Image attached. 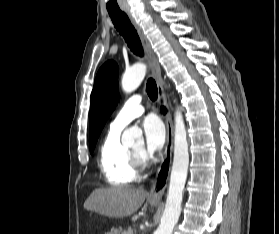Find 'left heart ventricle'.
Returning a JSON list of instances; mask_svg holds the SVG:
<instances>
[{"mask_svg": "<svg viewBox=\"0 0 279 234\" xmlns=\"http://www.w3.org/2000/svg\"><path fill=\"white\" fill-rule=\"evenodd\" d=\"M133 150L141 152V151H143V145H142V144H139V145L135 146V147L133 148Z\"/></svg>", "mask_w": 279, "mask_h": 234, "instance_id": "left-heart-ventricle-1", "label": "left heart ventricle"}]
</instances>
